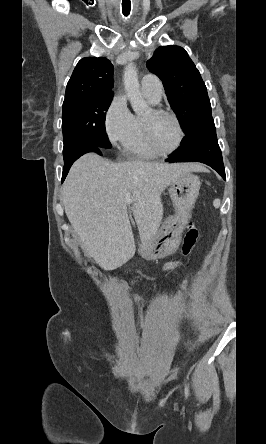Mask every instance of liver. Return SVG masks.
Returning <instances> with one entry per match:
<instances>
[{
    "instance_id": "1",
    "label": "liver",
    "mask_w": 266,
    "mask_h": 444,
    "mask_svg": "<svg viewBox=\"0 0 266 444\" xmlns=\"http://www.w3.org/2000/svg\"><path fill=\"white\" fill-rule=\"evenodd\" d=\"M198 164L115 163L88 153L71 167L63 184L65 213L86 255L105 270L123 266L136 246L128 217L126 193L142 242L151 240L163 217L161 193Z\"/></svg>"
}]
</instances>
